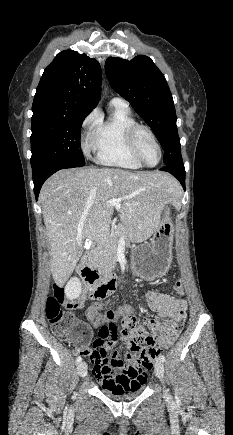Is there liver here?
<instances>
[{
    "label": "liver",
    "mask_w": 233,
    "mask_h": 435,
    "mask_svg": "<svg viewBox=\"0 0 233 435\" xmlns=\"http://www.w3.org/2000/svg\"><path fill=\"white\" fill-rule=\"evenodd\" d=\"M182 195L178 181L159 171L129 172L113 168L64 169L42 186L43 211L54 281L64 282L83 254L85 239L102 241L109 236L113 205L130 241L147 240L158 228L168 204L177 205Z\"/></svg>",
    "instance_id": "liver-1"
}]
</instances>
